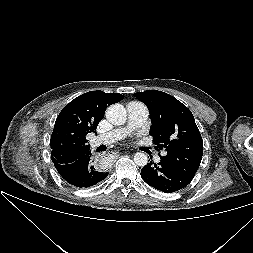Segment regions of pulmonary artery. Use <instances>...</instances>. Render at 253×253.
Segmentation results:
<instances>
[{
    "label": "pulmonary artery",
    "instance_id": "pulmonary-artery-1",
    "mask_svg": "<svg viewBox=\"0 0 253 253\" xmlns=\"http://www.w3.org/2000/svg\"><path fill=\"white\" fill-rule=\"evenodd\" d=\"M128 122L124 127L114 129L108 133L94 137L90 144L95 148L100 145H108L124 138L130 131L142 126L148 119L149 111L141 102L132 101L127 104ZM160 161V157H156Z\"/></svg>",
    "mask_w": 253,
    "mask_h": 253
}]
</instances>
